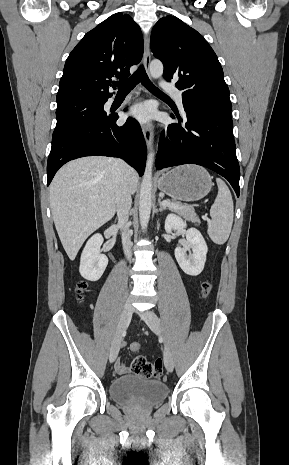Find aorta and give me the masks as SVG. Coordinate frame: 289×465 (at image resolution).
<instances>
[{
	"label": "aorta",
	"instance_id": "762f6f07",
	"mask_svg": "<svg viewBox=\"0 0 289 465\" xmlns=\"http://www.w3.org/2000/svg\"><path fill=\"white\" fill-rule=\"evenodd\" d=\"M150 75L154 79H158L163 75V64L159 60H153L150 64ZM154 151H151L147 156L145 172L143 175L140 198H139V218L143 229L147 227L150 219L152 207V168L154 162Z\"/></svg>",
	"mask_w": 289,
	"mask_h": 465
}]
</instances>
